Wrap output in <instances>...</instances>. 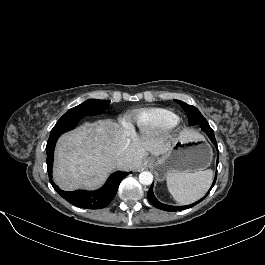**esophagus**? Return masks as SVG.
<instances>
[{"label":"esophagus","mask_w":265,"mask_h":265,"mask_svg":"<svg viewBox=\"0 0 265 265\" xmlns=\"http://www.w3.org/2000/svg\"><path fill=\"white\" fill-rule=\"evenodd\" d=\"M150 163H151V161L148 160V161H145L144 165H145V166H148V165H150Z\"/></svg>","instance_id":"1"}]
</instances>
